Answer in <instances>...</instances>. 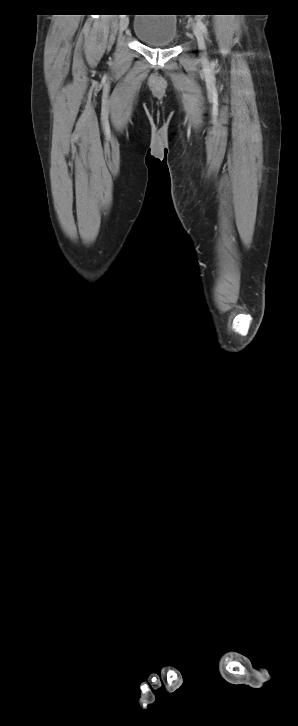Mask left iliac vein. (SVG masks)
Segmentation results:
<instances>
[{
	"label": "left iliac vein",
	"instance_id": "4c4485c4",
	"mask_svg": "<svg viewBox=\"0 0 298 726\" xmlns=\"http://www.w3.org/2000/svg\"><path fill=\"white\" fill-rule=\"evenodd\" d=\"M193 33H194V36L196 37V40H197V43H198V47H199V50L201 52L200 53L201 60L202 61H207L208 60V56H207V51H206V44H205L204 35H203L202 31L200 30V28L197 25H194L193 26Z\"/></svg>",
	"mask_w": 298,
	"mask_h": 726
}]
</instances>
